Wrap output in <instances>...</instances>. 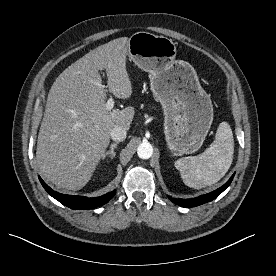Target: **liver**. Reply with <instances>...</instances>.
Wrapping results in <instances>:
<instances>
[{"mask_svg":"<svg viewBox=\"0 0 276 276\" xmlns=\"http://www.w3.org/2000/svg\"><path fill=\"white\" fill-rule=\"evenodd\" d=\"M129 38L121 37L91 50L54 81L40 126L36 161L41 174L59 188L80 190L91 179L116 126L128 130L134 108L106 109L108 89L117 98L132 95L126 71Z\"/></svg>","mask_w":276,"mask_h":276,"instance_id":"liver-1","label":"liver"}]
</instances>
